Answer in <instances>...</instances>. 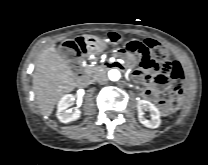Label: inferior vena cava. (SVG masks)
Segmentation results:
<instances>
[{"label": "inferior vena cava", "instance_id": "inferior-vena-cava-1", "mask_svg": "<svg viewBox=\"0 0 208 165\" xmlns=\"http://www.w3.org/2000/svg\"><path fill=\"white\" fill-rule=\"evenodd\" d=\"M96 80L98 83L104 84L108 81V78L105 74H99V75H97Z\"/></svg>", "mask_w": 208, "mask_h": 165}]
</instances>
